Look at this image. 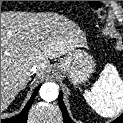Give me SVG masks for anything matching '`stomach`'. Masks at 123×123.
<instances>
[{
  "instance_id": "stomach-1",
  "label": "stomach",
  "mask_w": 123,
  "mask_h": 123,
  "mask_svg": "<svg viewBox=\"0 0 123 123\" xmlns=\"http://www.w3.org/2000/svg\"><path fill=\"white\" fill-rule=\"evenodd\" d=\"M92 57L81 49H75L62 58L57 69L67 74L74 86L84 84L94 71Z\"/></svg>"
}]
</instances>
